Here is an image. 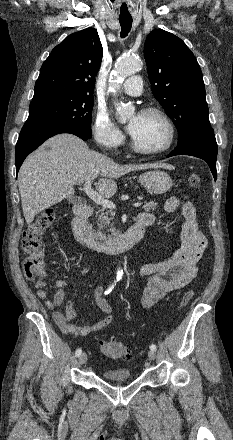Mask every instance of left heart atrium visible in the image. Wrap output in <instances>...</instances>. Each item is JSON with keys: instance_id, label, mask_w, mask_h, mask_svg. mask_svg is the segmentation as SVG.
<instances>
[{"instance_id": "1", "label": "left heart atrium", "mask_w": 233, "mask_h": 440, "mask_svg": "<svg viewBox=\"0 0 233 440\" xmlns=\"http://www.w3.org/2000/svg\"><path fill=\"white\" fill-rule=\"evenodd\" d=\"M128 129H129L130 134H132L133 129H134V123L129 124Z\"/></svg>"}]
</instances>
